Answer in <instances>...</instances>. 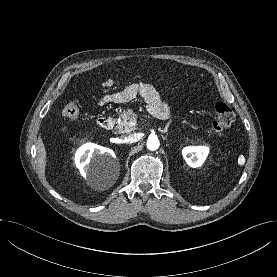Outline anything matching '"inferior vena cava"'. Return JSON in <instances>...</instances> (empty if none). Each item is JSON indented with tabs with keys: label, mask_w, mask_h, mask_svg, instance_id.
I'll use <instances>...</instances> for the list:
<instances>
[{
	"label": "inferior vena cava",
	"mask_w": 277,
	"mask_h": 277,
	"mask_svg": "<svg viewBox=\"0 0 277 277\" xmlns=\"http://www.w3.org/2000/svg\"><path fill=\"white\" fill-rule=\"evenodd\" d=\"M124 143H134L138 141V136L136 134H128L123 136Z\"/></svg>",
	"instance_id": "obj_1"
}]
</instances>
